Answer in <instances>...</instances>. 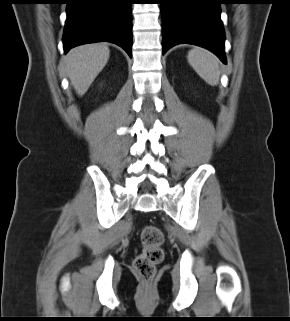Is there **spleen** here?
<instances>
[{"instance_id":"1","label":"spleen","mask_w":290,"mask_h":321,"mask_svg":"<svg viewBox=\"0 0 290 321\" xmlns=\"http://www.w3.org/2000/svg\"><path fill=\"white\" fill-rule=\"evenodd\" d=\"M188 62L206 83L212 86L219 83V59L213 53L194 48L188 53Z\"/></svg>"}]
</instances>
